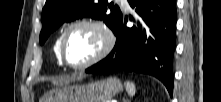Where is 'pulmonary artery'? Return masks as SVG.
I'll use <instances>...</instances> for the list:
<instances>
[{"label": "pulmonary artery", "instance_id": "pulmonary-artery-1", "mask_svg": "<svg viewBox=\"0 0 221 102\" xmlns=\"http://www.w3.org/2000/svg\"><path fill=\"white\" fill-rule=\"evenodd\" d=\"M122 5L125 7V8H128L129 7V4H128V1L127 0H120Z\"/></svg>", "mask_w": 221, "mask_h": 102}]
</instances>
